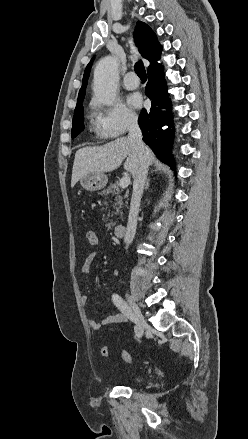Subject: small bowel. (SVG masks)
<instances>
[{
	"instance_id": "obj_1",
	"label": "small bowel",
	"mask_w": 248,
	"mask_h": 439,
	"mask_svg": "<svg viewBox=\"0 0 248 439\" xmlns=\"http://www.w3.org/2000/svg\"><path fill=\"white\" fill-rule=\"evenodd\" d=\"M98 253L97 252H91L90 254H88V256L85 258L83 266H82V273L83 274H88L91 270V267L95 261V259L97 258ZM115 275H118V271H115ZM83 302L87 301V296L83 295L81 297ZM126 316L123 313H114L111 314L107 317H105L102 321H97L95 319H91L89 321V324L91 326L92 329L94 330H99L101 329L102 326L105 325H113V324H119V323H123L125 322Z\"/></svg>"
}]
</instances>
